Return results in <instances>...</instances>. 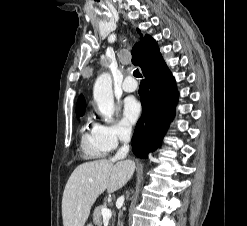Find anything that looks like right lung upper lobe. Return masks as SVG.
<instances>
[{
	"instance_id": "right-lung-upper-lobe-1",
	"label": "right lung upper lobe",
	"mask_w": 247,
	"mask_h": 226,
	"mask_svg": "<svg viewBox=\"0 0 247 226\" xmlns=\"http://www.w3.org/2000/svg\"><path fill=\"white\" fill-rule=\"evenodd\" d=\"M140 33V31L137 29ZM142 38V35H141ZM157 47L155 40L146 35L140 42L134 45L132 49V63L139 66L142 70L145 69L146 64L149 60L150 50H153ZM86 108L85 99L82 95L79 96L77 105H76V114L83 115Z\"/></svg>"
}]
</instances>
